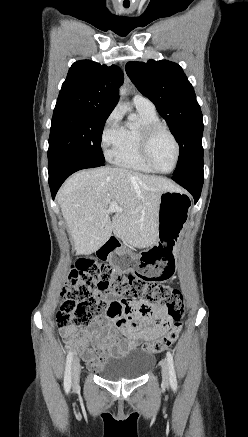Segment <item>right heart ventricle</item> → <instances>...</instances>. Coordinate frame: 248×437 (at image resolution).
<instances>
[{
	"label": "right heart ventricle",
	"mask_w": 248,
	"mask_h": 437,
	"mask_svg": "<svg viewBox=\"0 0 248 437\" xmlns=\"http://www.w3.org/2000/svg\"><path fill=\"white\" fill-rule=\"evenodd\" d=\"M138 120L121 127L120 140L111 156L113 162L125 169L142 173L153 171L145 164L140 153V134L144 126L160 122L155 110L136 108Z\"/></svg>",
	"instance_id": "right-heart-ventricle-1"
}]
</instances>
